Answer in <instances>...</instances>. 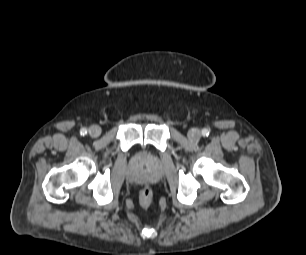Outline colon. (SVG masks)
Wrapping results in <instances>:
<instances>
[{"label": "colon", "mask_w": 306, "mask_h": 255, "mask_svg": "<svg viewBox=\"0 0 306 255\" xmlns=\"http://www.w3.org/2000/svg\"><path fill=\"white\" fill-rule=\"evenodd\" d=\"M153 198V192L152 189L149 186H145L141 191L139 195V202L142 207L148 208L151 205Z\"/></svg>", "instance_id": "5ec220e1"}]
</instances>
